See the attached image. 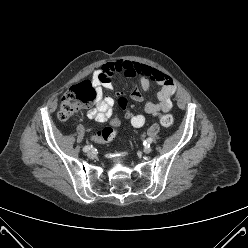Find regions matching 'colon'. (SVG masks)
<instances>
[{
	"instance_id": "5ec220e1",
	"label": "colon",
	"mask_w": 248,
	"mask_h": 248,
	"mask_svg": "<svg viewBox=\"0 0 248 248\" xmlns=\"http://www.w3.org/2000/svg\"><path fill=\"white\" fill-rule=\"evenodd\" d=\"M97 90L88 80H83L72 87L64 94L61 100L60 108L58 111V118L62 121H66L74 114L79 112L81 108L94 102L97 98ZM119 103L123 106V119L131 120L133 117V107L128 105V99L126 96L121 95L119 97ZM160 122L163 126H171L174 122V118L170 114H163L160 117ZM120 124L119 118L115 117L111 120V125L117 127ZM115 131L113 128H105L100 132L95 131L92 134V140L95 143L109 144L113 140Z\"/></svg>"
}]
</instances>
